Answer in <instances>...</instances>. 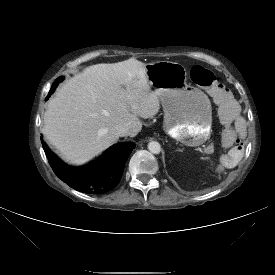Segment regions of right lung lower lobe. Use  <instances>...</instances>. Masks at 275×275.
I'll use <instances>...</instances> for the list:
<instances>
[{"label":"right lung lower lobe","mask_w":275,"mask_h":275,"mask_svg":"<svg viewBox=\"0 0 275 275\" xmlns=\"http://www.w3.org/2000/svg\"><path fill=\"white\" fill-rule=\"evenodd\" d=\"M41 141L54 173L71 188L87 194H101L113 189L120 181L125 162L135 147L132 143L116 144L90 165L78 169L64 164L42 138Z\"/></svg>","instance_id":"obj_1"}]
</instances>
